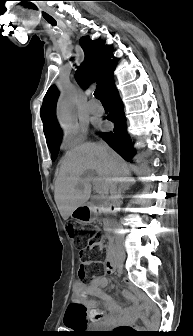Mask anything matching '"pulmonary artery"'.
Wrapping results in <instances>:
<instances>
[{
  "label": "pulmonary artery",
  "instance_id": "1",
  "mask_svg": "<svg viewBox=\"0 0 193 336\" xmlns=\"http://www.w3.org/2000/svg\"><path fill=\"white\" fill-rule=\"evenodd\" d=\"M88 111L93 115H100L103 113V107L96 100L91 99L87 105Z\"/></svg>",
  "mask_w": 193,
  "mask_h": 336
}]
</instances>
